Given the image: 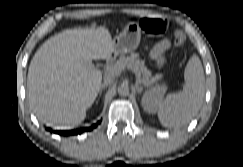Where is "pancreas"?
<instances>
[{
  "instance_id": "1",
  "label": "pancreas",
  "mask_w": 243,
  "mask_h": 167,
  "mask_svg": "<svg viewBox=\"0 0 243 167\" xmlns=\"http://www.w3.org/2000/svg\"><path fill=\"white\" fill-rule=\"evenodd\" d=\"M115 65L120 66L123 70H131L135 74L137 80L144 85H149L161 77L160 75L152 77V72L147 69L144 60L139 59L138 53H131V55L127 57L121 56Z\"/></svg>"
}]
</instances>
